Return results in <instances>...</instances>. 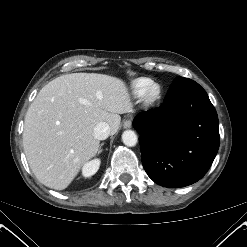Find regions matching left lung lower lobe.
<instances>
[{"mask_svg":"<svg viewBox=\"0 0 247 247\" xmlns=\"http://www.w3.org/2000/svg\"><path fill=\"white\" fill-rule=\"evenodd\" d=\"M143 167L164 187H184L209 170L219 148L218 116L205 90L195 81L172 83L159 108L139 113Z\"/></svg>","mask_w":247,"mask_h":247,"instance_id":"left-lung-lower-lobe-1","label":"left lung lower lobe"}]
</instances>
